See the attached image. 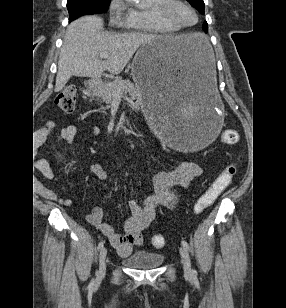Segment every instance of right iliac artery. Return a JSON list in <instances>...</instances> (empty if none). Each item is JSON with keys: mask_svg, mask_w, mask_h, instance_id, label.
I'll return each instance as SVG.
<instances>
[{"mask_svg": "<svg viewBox=\"0 0 286 308\" xmlns=\"http://www.w3.org/2000/svg\"><path fill=\"white\" fill-rule=\"evenodd\" d=\"M104 244L105 242L104 241H101L99 244H98V250H101L103 247H104Z\"/></svg>", "mask_w": 286, "mask_h": 308, "instance_id": "82829eb1", "label": "right iliac artery"}]
</instances>
